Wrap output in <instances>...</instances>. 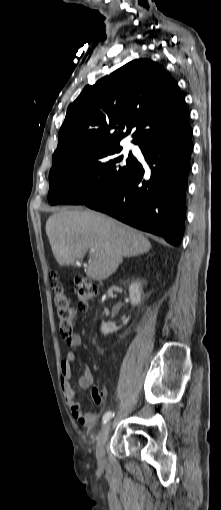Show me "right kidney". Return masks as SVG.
<instances>
[{
    "mask_svg": "<svg viewBox=\"0 0 221 510\" xmlns=\"http://www.w3.org/2000/svg\"><path fill=\"white\" fill-rule=\"evenodd\" d=\"M142 288L140 282H133L129 286V297L132 306H137L141 302ZM129 321V317L123 320V325H126ZM120 327H117L114 323H102L101 332L104 335L117 331Z\"/></svg>",
    "mask_w": 221,
    "mask_h": 510,
    "instance_id": "right-kidney-1",
    "label": "right kidney"
}]
</instances>
